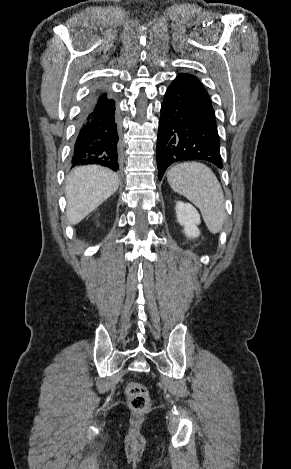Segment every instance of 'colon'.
<instances>
[{
	"label": "colon",
	"mask_w": 291,
	"mask_h": 469,
	"mask_svg": "<svg viewBox=\"0 0 291 469\" xmlns=\"http://www.w3.org/2000/svg\"><path fill=\"white\" fill-rule=\"evenodd\" d=\"M129 407L136 412H143L150 406L148 389L137 382H130L125 389Z\"/></svg>",
	"instance_id": "5ec220e1"
}]
</instances>
